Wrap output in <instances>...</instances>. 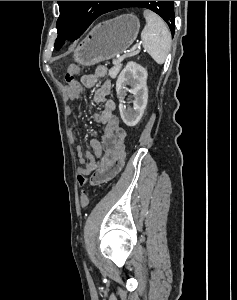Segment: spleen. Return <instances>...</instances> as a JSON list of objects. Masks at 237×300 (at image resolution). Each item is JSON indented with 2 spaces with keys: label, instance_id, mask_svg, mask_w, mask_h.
Returning <instances> with one entry per match:
<instances>
[{
  "label": "spleen",
  "instance_id": "3e777b00",
  "mask_svg": "<svg viewBox=\"0 0 237 300\" xmlns=\"http://www.w3.org/2000/svg\"><path fill=\"white\" fill-rule=\"evenodd\" d=\"M146 25L141 33L143 47L158 65H163L169 53L171 35L166 23L152 11H144Z\"/></svg>",
  "mask_w": 237,
  "mask_h": 300
}]
</instances>
